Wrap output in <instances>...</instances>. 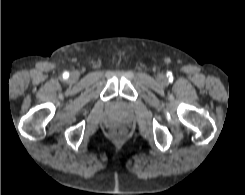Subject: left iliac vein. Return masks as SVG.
<instances>
[{
    "instance_id": "obj_1",
    "label": "left iliac vein",
    "mask_w": 245,
    "mask_h": 195,
    "mask_svg": "<svg viewBox=\"0 0 245 195\" xmlns=\"http://www.w3.org/2000/svg\"><path fill=\"white\" fill-rule=\"evenodd\" d=\"M159 80L162 83H166L167 82V77L164 74H160L159 75Z\"/></svg>"
}]
</instances>
